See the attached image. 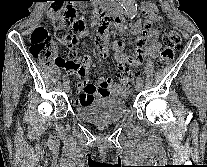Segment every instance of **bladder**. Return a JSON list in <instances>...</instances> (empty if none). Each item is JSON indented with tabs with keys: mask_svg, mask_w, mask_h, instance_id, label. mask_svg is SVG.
Here are the masks:
<instances>
[{
	"mask_svg": "<svg viewBox=\"0 0 207 167\" xmlns=\"http://www.w3.org/2000/svg\"><path fill=\"white\" fill-rule=\"evenodd\" d=\"M78 117L93 124H108L119 121L127 111L126 101L121 96H105L75 107Z\"/></svg>",
	"mask_w": 207,
	"mask_h": 167,
	"instance_id": "bladder-1",
	"label": "bladder"
}]
</instances>
